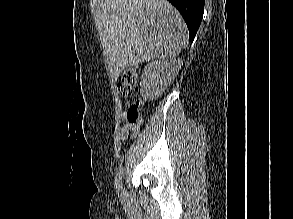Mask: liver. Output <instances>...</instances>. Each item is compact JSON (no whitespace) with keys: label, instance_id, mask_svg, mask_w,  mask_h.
Wrapping results in <instances>:
<instances>
[{"label":"liver","instance_id":"1","mask_svg":"<svg viewBox=\"0 0 293 219\" xmlns=\"http://www.w3.org/2000/svg\"><path fill=\"white\" fill-rule=\"evenodd\" d=\"M95 23L110 76L129 66L175 57L187 41V27L167 0H98Z\"/></svg>","mask_w":293,"mask_h":219}]
</instances>
